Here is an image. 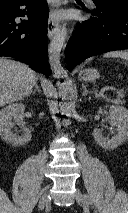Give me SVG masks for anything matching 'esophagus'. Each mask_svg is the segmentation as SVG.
<instances>
[{"label": "esophagus", "mask_w": 128, "mask_h": 213, "mask_svg": "<svg viewBox=\"0 0 128 213\" xmlns=\"http://www.w3.org/2000/svg\"><path fill=\"white\" fill-rule=\"evenodd\" d=\"M63 3L64 0H53V4L49 13L48 27H47L48 37L50 39L53 37L54 33L56 32L59 26L58 23L54 20V12L57 8L62 6Z\"/></svg>", "instance_id": "1"}]
</instances>
